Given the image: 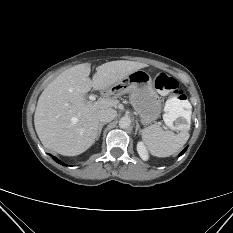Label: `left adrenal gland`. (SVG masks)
<instances>
[{
    "label": "left adrenal gland",
    "instance_id": "left-adrenal-gland-1",
    "mask_svg": "<svg viewBox=\"0 0 233 233\" xmlns=\"http://www.w3.org/2000/svg\"><path fill=\"white\" fill-rule=\"evenodd\" d=\"M140 132V126H139V123L138 121L136 120V129H135V135L137 134V132Z\"/></svg>",
    "mask_w": 233,
    "mask_h": 233
}]
</instances>
